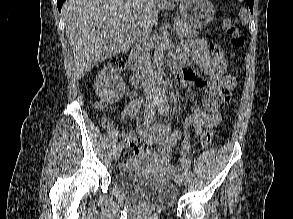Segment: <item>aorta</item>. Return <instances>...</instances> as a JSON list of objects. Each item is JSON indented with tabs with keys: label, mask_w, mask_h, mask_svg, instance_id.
I'll return each instance as SVG.
<instances>
[{
	"label": "aorta",
	"mask_w": 293,
	"mask_h": 219,
	"mask_svg": "<svg viewBox=\"0 0 293 219\" xmlns=\"http://www.w3.org/2000/svg\"><path fill=\"white\" fill-rule=\"evenodd\" d=\"M165 42L161 40L155 48L153 63L156 71L161 74L164 65Z\"/></svg>",
	"instance_id": "aorta-1"
}]
</instances>
